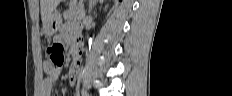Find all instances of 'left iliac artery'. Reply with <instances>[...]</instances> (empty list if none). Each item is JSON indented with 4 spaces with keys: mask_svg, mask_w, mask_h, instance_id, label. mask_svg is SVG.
<instances>
[{
    "mask_svg": "<svg viewBox=\"0 0 232 96\" xmlns=\"http://www.w3.org/2000/svg\"><path fill=\"white\" fill-rule=\"evenodd\" d=\"M82 95H83V96H88L87 91L82 90Z\"/></svg>",
    "mask_w": 232,
    "mask_h": 96,
    "instance_id": "1",
    "label": "left iliac artery"
}]
</instances>
